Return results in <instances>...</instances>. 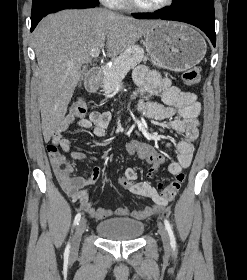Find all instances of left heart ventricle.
I'll list each match as a JSON object with an SVG mask.
<instances>
[{"instance_id":"obj_1","label":"left heart ventricle","mask_w":247,"mask_h":280,"mask_svg":"<svg viewBox=\"0 0 247 280\" xmlns=\"http://www.w3.org/2000/svg\"><path fill=\"white\" fill-rule=\"evenodd\" d=\"M137 1L145 6H153L162 3L164 0H137Z\"/></svg>"}]
</instances>
